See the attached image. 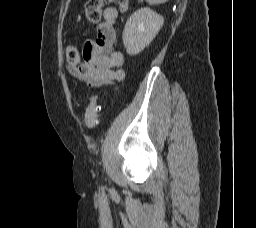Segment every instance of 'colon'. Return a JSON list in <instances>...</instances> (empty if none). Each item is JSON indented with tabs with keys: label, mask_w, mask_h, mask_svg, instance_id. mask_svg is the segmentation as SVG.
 Masks as SVG:
<instances>
[{
	"label": "colon",
	"mask_w": 256,
	"mask_h": 228,
	"mask_svg": "<svg viewBox=\"0 0 256 228\" xmlns=\"http://www.w3.org/2000/svg\"><path fill=\"white\" fill-rule=\"evenodd\" d=\"M117 3L122 12L127 11L128 0H88L85 5V14L89 22L96 24L100 21L102 15V7L106 4ZM66 57L70 65H77L81 62V56L77 49L69 45L66 48ZM98 96H93L85 111V124L88 129H93L97 124L99 113Z\"/></svg>",
	"instance_id": "obj_1"
}]
</instances>
